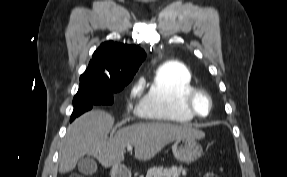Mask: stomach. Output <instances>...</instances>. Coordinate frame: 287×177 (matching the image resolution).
I'll use <instances>...</instances> for the list:
<instances>
[{
    "label": "stomach",
    "mask_w": 287,
    "mask_h": 177,
    "mask_svg": "<svg viewBox=\"0 0 287 177\" xmlns=\"http://www.w3.org/2000/svg\"><path fill=\"white\" fill-rule=\"evenodd\" d=\"M172 151L174 157L183 163L196 161L203 152L197 138L194 137H183L175 140ZM111 173L112 177H120L122 174V167L119 165L114 166Z\"/></svg>",
    "instance_id": "1"
}]
</instances>
